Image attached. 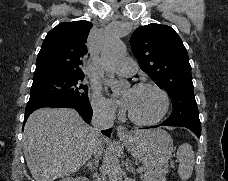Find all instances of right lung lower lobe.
<instances>
[{"instance_id": "obj_1", "label": "right lung lower lobe", "mask_w": 228, "mask_h": 181, "mask_svg": "<svg viewBox=\"0 0 228 181\" xmlns=\"http://www.w3.org/2000/svg\"><path fill=\"white\" fill-rule=\"evenodd\" d=\"M42 107H66V108H73L77 110V112L81 115L86 123H89L92 118V108L91 106H79L73 104L72 102L62 101V100H43V101H36V102H28L25 108V116H24V123L26 122L28 116L35 111L36 109ZM112 129L103 130L102 133L106 136L110 137Z\"/></svg>"}]
</instances>
